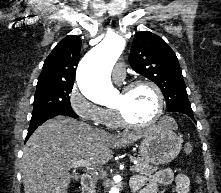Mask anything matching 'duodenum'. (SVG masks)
<instances>
[{"label":"duodenum","mask_w":221,"mask_h":193,"mask_svg":"<svg viewBox=\"0 0 221 193\" xmlns=\"http://www.w3.org/2000/svg\"><path fill=\"white\" fill-rule=\"evenodd\" d=\"M80 184H81L82 193L91 192L92 179L91 175L88 172H85L81 175Z\"/></svg>","instance_id":"obj_1"}]
</instances>
